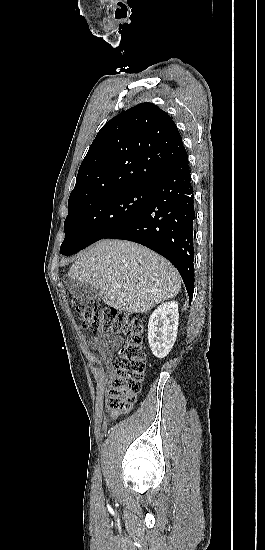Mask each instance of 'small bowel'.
<instances>
[{"label": "small bowel", "instance_id": "1", "mask_svg": "<svg viewBox=\"0 0 265 550\" xmlns=\"http://www.w3.org/2000/svg\"><path fill=\"white\" fill-rule=\"evenodd\" d=\"M122 343L120 337L100 334L90 339V345L94 351L102 358L106 367H110L113 359V348L118 347ZM89 357L92 361H96L97 356L90 353Z\"/></svg>", "mask_w": 265, "mask_h": 550}]
</instances>
